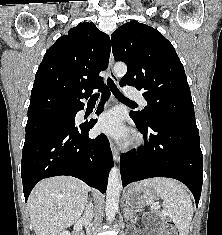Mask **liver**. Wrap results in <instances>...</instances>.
I'll list each match as a JSON object with an SVG mask.
<instances>
[{
  "instance_id": "liver-1",
  "label": "liver",
  "mask_w": 222,
  "mask_h": 235,
  "mask_svg": "<svg viewBox=\"0 0 222 235\" xmlns=\"http://www.w3.org/2000/svg\"><path fill=\"white\" fill-rule=\"evenodd\" d=\"M89 187L77 178L57 176L40 181L28 199L36 235H58L79 220Z\"/></svg>"
}]
</instances>
